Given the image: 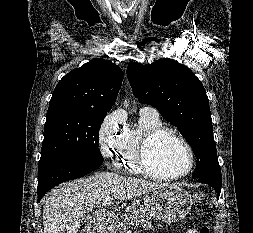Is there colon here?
<instances>
[{"mask_svg": "<svg viewBox=\"0 0 253 233\" xmlns=\"http://www.w3.org/2000/svg\"><path fill=\"white\" fill-rule=\"evenodd\" d=\"M195 199L198 201V202H202L204 200V195L202 193H197L195 195ZM198 233H210V230L207 226H202L199 230Z\"/></svg>", "mask_w": 253, "mask_h": 233, "instance_id": "1", "label": "colon"}]
</instances>
